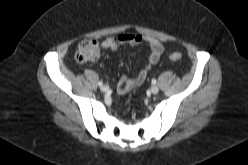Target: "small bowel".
<instances>
[{
    "instance_id": "c3829d8e",
    "label": "small bowel",
    "mask_w": 248,
    "mask_h": 165,
    "mask_svg": "<svg viewBox=\"0 0 248 165\" xmlns=\"http://www.w3.org/2000/svg\"><path fill=\"white\" fill-rule=\"evenodd\" d=\"M145 43L150 49L147 65L133 78L123 77L120 79L117 91L120 94H124L134 88L139 87L147 78L150 68L155 65L162 53V43L150 36H142L134 33H124L116 37H107L101 42V47L111 50L118 49L123 44L139 45Z\"/></svg>"
}]
</instances>
